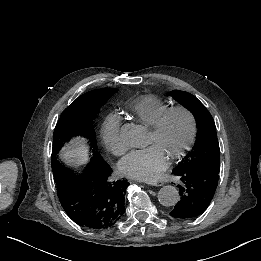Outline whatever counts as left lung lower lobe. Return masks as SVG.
<instances>
[{
    "label": "left lung lower lobe",
    "instance_id": "left-lung-lower-lobe-1",
    "mask_svg": "<svg viewBox=\"0 0 261 261\" xmlns=\"http://www.w3.org/2000/svg\"><path fill=\"white\" fill-rule=\"evenodd\" d=\"M180 179V199L169 213L173 218L190 219L201 215L209 206L219 179V172L204 168L175 169Z\"/></svg>",
    "mask_w": 261,
    "mask_h": 261
}]
</instances>
